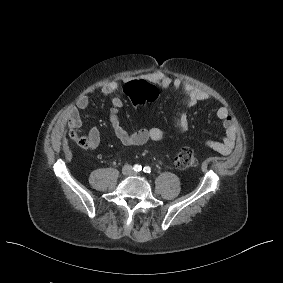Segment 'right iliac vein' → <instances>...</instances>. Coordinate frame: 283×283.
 Listing matches in <instances>:
<instances>
[{"label": "right iliac vein", "instance_id": "right-iliac-vein-1", "mask_svg": "<svg viewBox=\"0 0 283 283\" xmlns=\"http://www.w3.org/2000/svg\"><path fill=\"white\" fill-rule=\"evenodd\" d=\"M129 170H130V167H128V166L124 167L123 173L126 174V173L129 172Z\"/></svg>", "mask_w": 283, "mask_h": 283}]
</instances>
